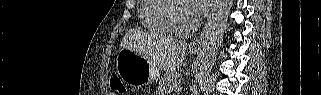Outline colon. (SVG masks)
<instances>
[{
    "mask_svg": "<svg viewBox=\"0 0 321 95\" xmlns=\"http://www.w3.org/2000/svg\"><path fill=\"white\" fill-rule=\"evenodd\" d=\"M110 87L112 91L119 95H126L127 88L117 74H112L110 78Z\"/></svg>",
    "mask_w": 321,
    "mask_h": 95,
    "instance_id": "1",
    "label": "colon"
}]
</instances>
